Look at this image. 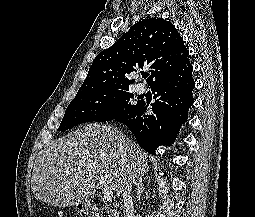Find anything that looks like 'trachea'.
Returning <instances> with one entry per match:
<instances>
[{
    "mask_svg": "<svg viewBox=\"0 0 255 217\" xmlns=\"http://www.w3.org/2000/svg\"><path fill=\"white\" fill-rule=\"evenodd\" d=\"M148 77V75H143V78H147Z\"/></svg>",
    "mask_w": 255,
    "mask_h": 217,
    "instance_id": "trachea-1",
    "label": "trachea"
}]
</instances>
